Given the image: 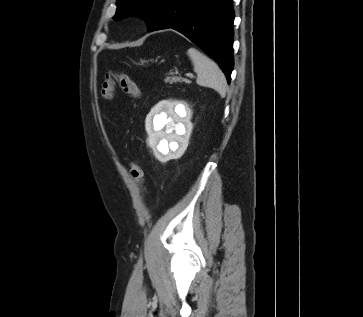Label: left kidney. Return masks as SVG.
Instances as JSON below:
<instances>
[{"instance_id":"1","label":"left kidney","mask_w":363,"mask_h":317,"mask_svg":"<svg viewBox=\"0 0 363 317\" xmlns=\"http://www.w3.org/2000/svg\"><path fill=\"white\" fill-rule=\"evenodd\" d=\"M191 111L185 105L163 100L146 118L148 145L161 162L180 158L188 147L192 132Z\"/></svg>"}]
</instances>
